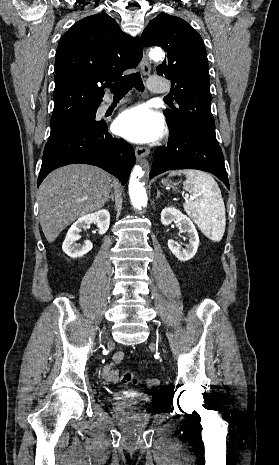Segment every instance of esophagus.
Segmentation results:
<instances>
[{"label":"esophagus","instance_id":"1","mask_svg":"<svg viewBox=\"0 0 279 465\" xmlns=\"http://www.w3.org/2000/svg\"><path fill=\"white\" fill-rule=\"evenodd\" d=\"M141 71L144 75H148L151 71V66L148 62V58L145 54H143V58L140 63ZM150 154V149L146 147H136L135 148V155L138 161L142 160L143 158L147 157Z\"/></svg>","mask_w":279,"mask_h":465}]
</instances>
